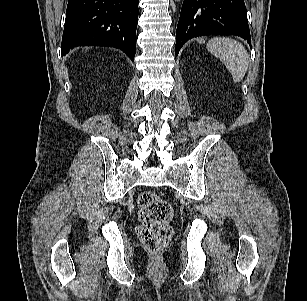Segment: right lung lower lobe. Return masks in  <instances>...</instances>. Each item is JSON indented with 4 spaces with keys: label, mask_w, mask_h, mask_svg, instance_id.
<instances>
[{
    "label": "right lung lower lobe",
    "mask_w": 307,
    "mask_h": 301,
    "mask_svg": "<svg viewBox=\"0 0 307 301\" xmlns=\"http://www.w3.org/2000/svg\"><path fill=\"white\" fill-rule=\"evenodd\" d=\"M139 0H69L62 55L75 46H110L134 61Z\"/></svg>",
    "instance_id": "obj_1"
}]
</instances>
